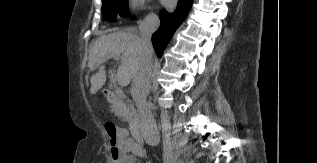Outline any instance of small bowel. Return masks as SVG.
Returning a JSON list of instances; mask_svg holds the SVG:
<instances>
[{
    "label": "small bowel",
    "mask_w": 317,
    "mask_h": 163,
    "mask_svg": "<svg viewBox=\"0 0 317 163\" xmlns=\"http://www.w3.org/2000/svg\"><path fill=\"white\" fill-rule=\"evenodd\" d=\"M118 139L120 140L121 150V157L118 163H136L137 157L143 158L145 156L144 149L129 139L124 129L119 130ZM145 163L151 162L146 161Z\"/></svg>",
    "instance_id": "obj_1"
}]
</instances>
